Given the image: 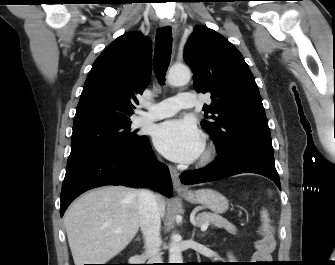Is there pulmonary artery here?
<instances>
[{
	"label": "pulmonary artery",
	"mask_w": 335,
	"mask_h": 265,
	"mask_svg": "<svg viewBox=\"0 0 335 265\" xmlns=\"http://www.w3.org/2000/svg\"><path fill=\"white\" fill-rule=\"evenodd\" d=\"M195 104L196 98L193 93L182 92L153 105L145 104L147 111L143 112L137 121L143 123L163 119L174 115L181 109L193 108Z\"/></svg>",
	"instance_id": "obj_1"
}]
</instances>
